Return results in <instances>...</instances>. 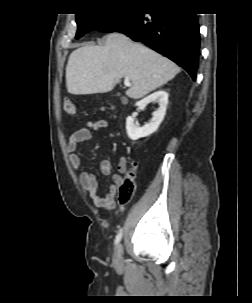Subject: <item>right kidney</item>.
<instances>
[{"label": "right kidney", "mask_w": 252, "mask_h": 303, "mask_svg": "<svg viewBox=\"0 0 252 303\" xmlns=\"http://www.w3.org/2000/svg\"><path fill=\"white\" fill-rule=\"evenodd\" d=\"M151 102H158L159 108L153 113L151 121L143 127H139L134 123V118L129 116L126 119V130L128 137L131 140H138L142 137H147L157 131L161 122L164 119L168 104V93L164 90L154 92L153 94L138 101L136 106L140 108L146 107Z\"/></svg>", "instance_id": "ca27d5eb"}]
</instances>
